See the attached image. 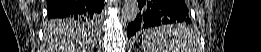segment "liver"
Here are the masks:
<instances>
[{
	"mask_svg": "<svg viewBox=\"0 0 261 52\" xmlns=\"http://www.w3.org/2000/svg\"><path fill=\"white\" fill-rule=\"evenodd\" d=\"M89 31L76 27L75 24H55L49 22L45 32V39L51 50L56 52H90L87 47L90 40H86ZM87 45V46H86ZM55 52V51H53Z\"/></svg>",
	"mask_w": 261,
	"mask_h": 52,
	"instance_id": "1",
	"label": "liver"
}]
</instances>
